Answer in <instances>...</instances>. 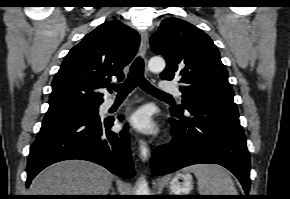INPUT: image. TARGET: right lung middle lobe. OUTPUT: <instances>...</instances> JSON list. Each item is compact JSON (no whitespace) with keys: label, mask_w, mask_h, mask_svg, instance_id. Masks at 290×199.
<instances>
[{"label":"right lung middle lobe","mask_w":290,"mask_h":199,"mask_svg":"<svg viewBox=\"0 0 290 199\" xmlns=\"http://www.w3.org/2000/svg\"><path fill=\"white\" fill-rule=\"evenodd\" d=\"M99 118L98 106L86 107L66 113L46 115L44 121H60V120H70V119H81V118Z\"/></svg>","instance_id":"1"}]
</instances>
